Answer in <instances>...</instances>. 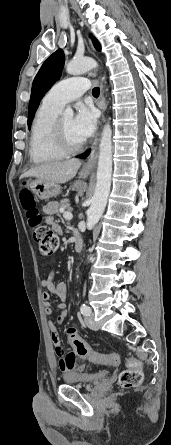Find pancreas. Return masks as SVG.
I'll list each match as a JSON object with an SVG mask.
<instances>
[{
  "mask_svg": "<svg viewBox=\"0 0 171 445\" xmlns=\"http://www.w3.org/2000/svg\"><path fill=\"white\" fill-rule=\"evenodd\" d=\"M53 206L55 207L54 213H59V208H70V204H69V200L68 199H63L61 200L59 203L58 202H54Z\"/></svg>",
  "mask_w": 171,
  "mask_h": 445,
  "instance_id": "cf45deb5",
  "label": "pancreas"
}]
</instances>
